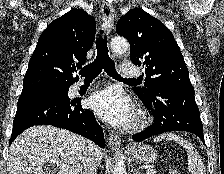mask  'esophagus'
Returning a JSON list of instances; mask_svg holds the SVG:
<instances>
[{
    "instance_id": "34e87169",
    "label": "esophagus",
    "mask_w": 224,
    "mask_h": 174,
    "mask_svg": "<svg viewBox=\"0 0 224 174\" xmlns=\"http://www.w3.org/2000/svg\"><path fill=\"white\" fill-rule=\"evenodd\" d=\"M102 24L106 34H108L114 26V8L110 3H102ZM109 146L112 149H119L121 146V140L118 135L110 133L108 138Z\"/></svg>"
}]
</instances>
